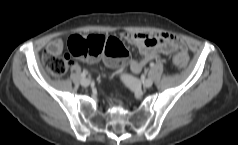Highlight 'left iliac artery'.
<instances>
[{
	"label": "left iliac artery",
	"instance_id": "left-iliac-artery-1",
	"mask_svg": "<svg viewBox=\"0 0 238 145\" xmlns=\"http://www.w3.org/2000/svg\"><path fill=\"white\" fill-rule=\"evenodd\" d=\"M150 67H152V68H153V67H154V63H151V64H150Z\"/></svg>",
	"mask_w": 238,
	"mask_h": 145
}]
</instances>
